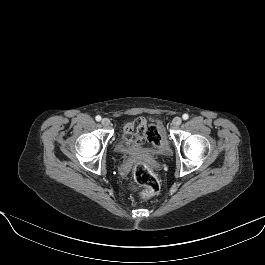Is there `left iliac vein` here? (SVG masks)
<instances>
[{
  "label": "left iliac vein",
  "mask_w": 265,
  "mask_h": 265,
  "mask_svg": "<svg viewBox=\"0 0 265 265\" xmlns=\"http://www.w3.org/2000/svg\"><path fill=\"white\" fill-rule=\"evenodd\" d=\"M181 122H182V119L180 117H175L173 119V126L178 127L181 124Z\"/></svg>",
  "instance_id": "left-iliac-vein-1"
}]
</instances>
